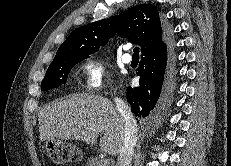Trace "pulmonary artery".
I'll list each match as a JSON object with an SVG mask.
<instances>
[{"label":"pulmonary artery","instance_id":"e3ab8cb5","mask_svg":"<svg viewBox=\"0 0 231 166\" xmlns=\"http://www.w3.org/2000/svg\"><path fill=\"white\" fill-rule=\"evenodd\" d=\"M128 49H129V47L127 46V47H126V50H128ZM122 61H123L124 63H126V64L131 63V61H132L131 55H130L129 53L123 54V56H122Z\"/></svg>","mask_w":231,"mask_h":166}]
</instances>
